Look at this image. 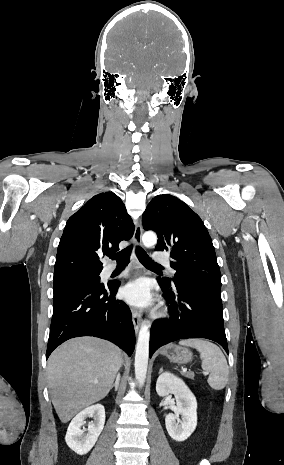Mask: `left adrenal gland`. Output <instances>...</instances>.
<instances>
[{
	"label": "left adrenal gland",
	"instance_id": "1",
	"mask_svg": "<svg viewBox=\"0 0 284 465\" xmlns=\"http://www.w3.org/2000/svg\"><path fill=\"white\" fill-rule=\"evenodd\" d=\"M163 369H160L159 373H162Z\"/></svg>",
	"mask_w": 284,
	"mask_h": 465
}]
</instances>
